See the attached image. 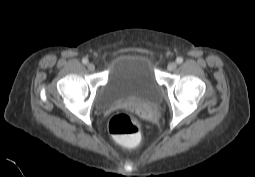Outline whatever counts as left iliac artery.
<instances>
[{
    "label": "left iliac artery",
    "mask_w": 255,
    "mask_h": 177,
    "mask_svg": "<svg viewBox=\"0 0 255 177\" xmlns=\"http://www.w3.org/2000/svg\"><path fill=\"white\" fill-rule=\"evenodd\" d=\"M176 62H177V64H181L183 62V58L182 57H178L176 59Z\"/></svg>",
    "instance_id": "obj_1"
}]
</instances>
